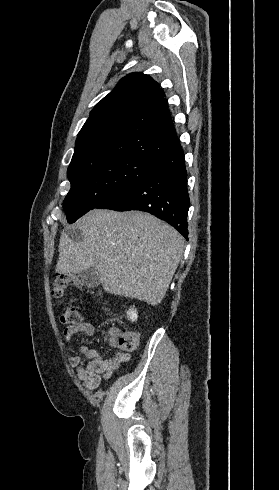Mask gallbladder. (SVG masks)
<instances>
[{
	"label": "gallbladder",
	"mask_w": 279,
	"mask_h": 490,
	"mask_svg": "<svg viewBox=\"0 0 279 490\" xmlns=\"http://www.w3.org/2000/svg\"><path fill=\"white\" fill-rule=\"evenodd\" d=\"M77 280L81 286H86V288H97L100 284V276H98L95 268L83 270V272H80Z\"/></svg>",
	"instance_id": "1"
}]
</instances>
